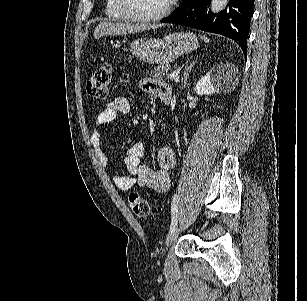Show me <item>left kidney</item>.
<instances>
[{"mask_svg":"<svg viewBox=\"0 0 307 301\" xmlns=\"http://www.w3.org/2000/svg\"><path fill=\"white\" fill-rule=\"evenodd\" d=\"M238 70L234 64H227V62H220L210 68L204 76L199 78L194 86L196 94H214L220 90H231L233 84L237 80Z\"/></svg>","mask_w":307,"mask_h":301,"instance_id":"5707ae66","label":"left kidney"}]
</instances>
